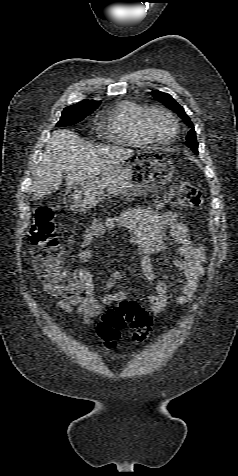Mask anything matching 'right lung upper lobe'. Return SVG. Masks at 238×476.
Listing matches in <instances>:
<instances>
[{"label":"right lung upper lobe","mask_w":238,"mask_h":476,"mask_svg":"<svg viewBox=\"0 0 238 476\" xmlns=\"http://www.w3.org/2000/svg\"><path fill=\"white\" fill-rule=\"evenodd\" d=\"M100 101H94V100H83L77 104H74L76 106H99Z\"/></svg>","instance_id":"cb5924a9"}]
</instances>
